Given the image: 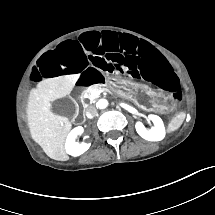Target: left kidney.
Instances as JSON below:
<instances>
[{"instance_id": "1", "label": "left kidney", "mask_w": 215, "mask_h": 215, "mask_svg": "<svg viewBox=\"0 0 215 215\" xmlns=\"http://www.w3.org/2000/svg\"><path fill=\"white\" fill-rule=\"evenodd\" d=\"M148 118L154 123V126L147 130L142 122H137V133L148 141L163 140L166 136V129L162 118L155 114H149Z\"/></svg>"}]
</instances>
